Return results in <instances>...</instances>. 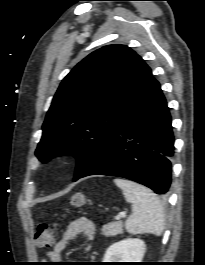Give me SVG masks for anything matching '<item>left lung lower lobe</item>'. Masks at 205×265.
I'll return each instance as SVG.
<instances>
[{"label": "left lung lower lobe", "instance_id": "left-lung-lower-lobe-1", "mask_svg": "<svg viewBox=\"0 0 205 265\" xmlns=\"http://www.w3.org/2000/svg\"><path fill=\"white\" fill-rule=\"evenodd\" d=\"M173 153L171 116L158 81L151 76L142 95L74 180L95 174L117 176L165 194Z\"/></svg>", "mask_w": 205, "mask_h": 265}]
</instances>
